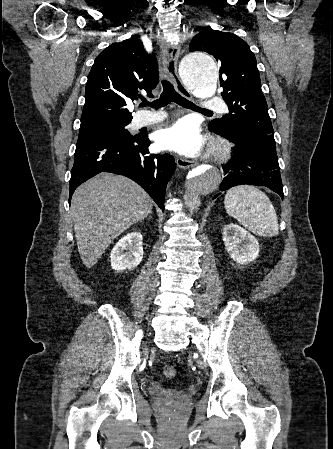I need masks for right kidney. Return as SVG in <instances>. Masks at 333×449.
<instances>
[{
	"instance_id": "1",
	"label": "right kidney",
	"mask_w": 333,
	"mask_h": 449,
	"mask_svg": "<svg viewBox=\"0 0 333 449\" xmlns=\"http://www.w3.org/2000/svg\"><path fill=\"white\" fill-rule=\"evenodd\" d=\"M142 240L143 236L138 231L121 238L111 251L112 269L121 272L138 266L143 258Z\"/></svg>"
}]
</instances>
